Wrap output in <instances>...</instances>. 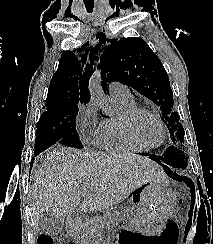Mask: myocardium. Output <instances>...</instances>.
<instances>
[{
	"label": "myocardium",
	"mask_w": 213,
	"mask_h": 244,
	"mask_svg": "<svg viewBox=\"0 0 213 244\" xmlns=\"http://www.w3.org/2000/svg\"><path fill=\"white\" fill-rule=\"evenodd\" d=\"M143 115H148V116L152 117L160 125V127L163 131V137L159 143L149 144V143L145 142L138 135V133L136 131V122ZM121 123H122L123 130H124L125 134L127 135V137L131 141L135 142L136 144H138L146 149H154V148L159 147L160 145H162L164 143V141L167 138V128H166L164 122L162 121V119L160 118V116L158 114H156L155 112H153L149 109H146V108L137 107L133 110L124 112L121 116Z\"/></svg>",
	"instance_id": "myocardium-1"
}]
</instances>
